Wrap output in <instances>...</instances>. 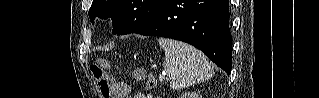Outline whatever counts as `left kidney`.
Masks as SVG:
<instances>
[{"mask_svg": "<svg viewBox=\"0 0 319 98\" xmlns=\"http://www.w3.org/2000/svg\"><path fill=\"white\" fill-rule=\"evenodd\" d=\"M180 98H201V96L196 92H185L181 94Z\"/></svg>", "mask_w": 319, "mask_h": 98, "instance_id": "obj_1", "label": "left kidney"}]
</instances>
